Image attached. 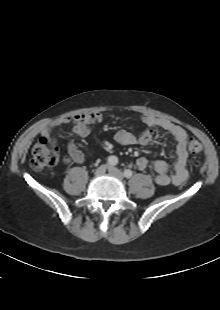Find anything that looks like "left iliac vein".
Here are the masks:
<instances>
[{
  "label": "left iliac vein",
  "instance_id": "left-iliac-vein-1",
  "mask_svg": "<svg viewBox=\"0 0 220 310\" xmlns=\"http://www.w3.org/2000/svg\"><path fill=\"white\" fill-rule=\"evenodd\" d=\"M108 170H109L110 175H112V176H114L120 180L123 179V173L119 169H117L115 167H109Z\"/></svg>",
  "mask_w": 220,
  "mask_h": 310
}]
</instances>
